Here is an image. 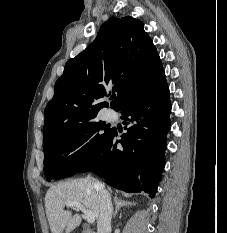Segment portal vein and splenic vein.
I'll list each match as a JSON object with an SVG mask.
<instances>
[{"label":"portal vein and splenic vein","instance_id":"18ae733b","mask_svg":"<svg viewBox=\"0 0 227 233\" xmlns=\"http://www.w3.org/2000/svg\"><path fill=\"white\" fill-rule=\"evenodd\" d=\"M67 207H75L79 210H81L88 223H93L95 221V216L91 211H88L81 203L75 202V201H68L65 203Z\"/></svg>","mask_w":227,"mask_h":233}]
</instances>
